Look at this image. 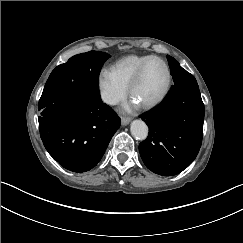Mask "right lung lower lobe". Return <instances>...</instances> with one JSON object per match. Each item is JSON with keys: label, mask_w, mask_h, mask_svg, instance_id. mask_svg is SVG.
<instances>
[{"label": "right lung lower lobe", "mask_w": 243, "mask_h": 243, "mask_svg": "<svg viewBox=\"0 0 243 243\" xmlns=\"http://www.w3.org/2000/svg\"><path fill=\"white\" fill-rule=\"evenodd\" d=\"M39 131L49 154L73 172L92 169L101 160L120 118L100 96L69 93L41 109Z\"/></svg>", "instance_id": "obj_1"}]
</instances>
